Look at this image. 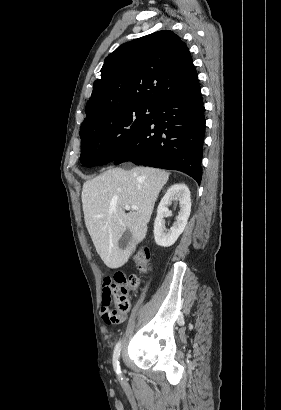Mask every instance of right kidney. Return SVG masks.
<instances>
[{
  "label": "right kidney",
  "mask_w": 281,
  "mask_h": 410,
  "mask_svg": "<svg viewBox=\"0 0 281 410\" xmlns=\"http://www.w3.org/2000/svg\"><path fill=\"white\" fill-rule=\"evenodd\" d=\"M172 202H179L180 211L176 222L167 230L164 225V213ZM191 212V199L189 188L182 183L172 185L162 198L154 221V238L157 245L169 247L173 245L184 231Z\"/></svg>",
  "instance_id": "ca27d5eb"
}]
</instances>
